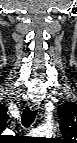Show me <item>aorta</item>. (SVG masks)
Wrapping results in <instances>:
<instances>
[{
	"mask_svg": "<svg viewBox=\"0 0 77 143\" xmlns=\"http://www.w3.org/2000/svg\"><path fill=\"white\" fill-rule=\"evenodd\" d=\"M34 133L41 136H51L53 133V127L51 124H45L38 127Z\"/></svg>",
	"mask_w": 77,
	"mask_h": 143,
	"instance_id": "1",
	"label": "aorta"
}]
</instances>
